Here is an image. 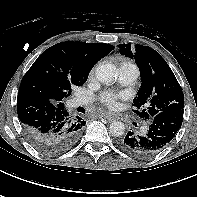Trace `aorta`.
<instances>
[{"instance_id":"obj_1","label":"aorta","mask_w":197,"mask_h":197,"mask_svg":"<svg viewBox=\"0 0 197 197\" xmlns=\"http://www.w3.org/2000/svg\"><path fill=\"white\" fill-rule=\"evenodd\" d=\"M95 76L98 81L105 84H111L117 79V69L112 63H102L97 66ZM113 136L121 137L125 132V125L120 121H114L109 127Z\"/></svg>"}]
</instances>
